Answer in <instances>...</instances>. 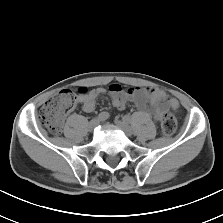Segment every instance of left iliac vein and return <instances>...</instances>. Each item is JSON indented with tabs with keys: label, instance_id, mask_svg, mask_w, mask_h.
<instances>
[{
	"label": "left iliac vein",
	"instance_id": "obj_1",
	"mask_svg": "<svg viewBox=\"0 0 223 223\" xmlns=\"http://www.w3.org/2000/svg\"><path fill=\"white\" fill-rule=\"evenodd\" d=\"M116 124H117L118 128H120L122 131H124L126 136L130 137L133 134V130L127 121L119 120L116 122Z\"/></svg>",
	"mask_w": 223,
	"mask_h": 223
}]
</instances>
